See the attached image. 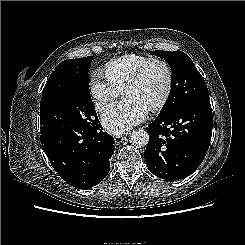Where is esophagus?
I'll return each instance as SVG.
<instances>
[{"mask_svg":"<svg viewBox=\"0 0 245 245\" xmlns=\"http://www.w3.org/2000/svg\"><path fill=\"white\" fill-rule=\"evenodd\" d=\"M124 138H125L124 135H116V136H114L115 144H120L124 140Z\"/></svg>","mask_w":245,"mask_h":245,"instance_id":"esophagus-1","label":"esophagus"}]
</instances>
